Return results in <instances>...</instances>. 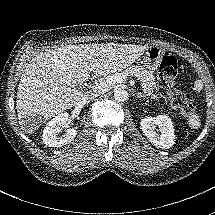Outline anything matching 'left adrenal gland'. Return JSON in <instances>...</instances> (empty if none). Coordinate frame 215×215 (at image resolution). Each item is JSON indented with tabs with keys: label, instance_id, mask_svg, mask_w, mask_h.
<instances>
[{
	"label": "left adrenal gland",
	"instance_id": "a2214340",
	"mask_svg": "<svg viewBox=\"0 0 215 215\" xmlns=\"http://www.w3.org/2000/svg\"><path fill=\"white\" fill-rule=\"evenodd\" d=\"M136 95H137L138 99L139 98H145V96H144V94L142 92H137Z\"/></svg>",
	"mask_w": 215,
	"mask_h": 215
}]
</instances>
